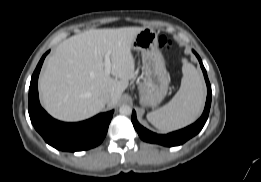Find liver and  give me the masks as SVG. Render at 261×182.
Instances as JSON below:
<instances>
[{"label": "liver", "mask_w": 261, "mask_h": 182, "mask_svg": "<svg viewBox=\"0 0 261 182\" xmlns=\"http://www.w3.org/2000/svg\"><path fill=\"white\" fill-rule=\"evenodd\" d=\"M144 27L90 29L61 42L46 60L39 79L44 108L63 121L88 119L115 106L135 76L131 53ZM111 59L112 78L105 73L104 56ZM110 96L106 103L104 97Z\"/></svg>", "instance_id": "obj_1"}]
</instances>
